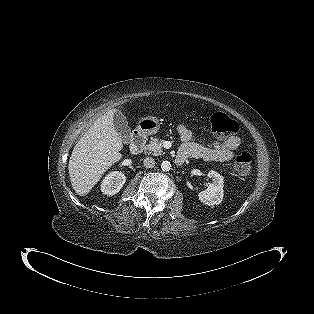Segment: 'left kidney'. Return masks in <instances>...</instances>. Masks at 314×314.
Returning <instances> with one entry per match:
<instances>
[{"mask_svg":"<svg viewBox=\"0 0 314 314\" xmlns=\"http://www.w3.org/2000/svg\"><path fill=\"white\" fill-rule=\"evenodd\" d=\"M208 178L212 179V183H209L205 191H201L198 194L199 200L208 206L218 205L223 200L224 195V179L216 171H209Z\"/></svg>","mask_w":314,"mask_h":314,"instance_id":"1","label":"left kidney"}]
</instances>
